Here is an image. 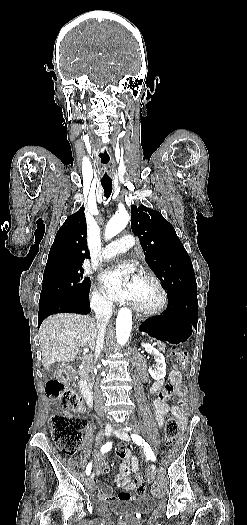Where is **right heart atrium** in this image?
<instances>
[{"instance_id": "1", "label": "right heart atrium", "mask_w": 247, "mask_h": 525, "mask_svg": "<svg viewBox=\"0 0 247 525\" xmlns=\"http://www.w3.org/2000/svg\"><path fill=\"white\" fill-rule=\"evenodd\" d=\"M91 305L98 310H105L111 306L110 297L101 290L97 283L92 286L90 294Z\"/></svg>"}]
</instances>
